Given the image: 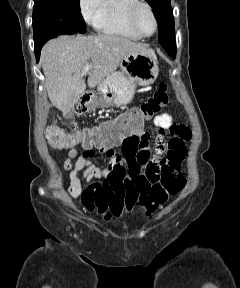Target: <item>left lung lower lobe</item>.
Wrapping results in <instances>:
<instances>
[{"label":"left lung lower lobe","instance_id":"obj_1","mask_svg":"<svg viewBox=\"0 0 240 288\" xmlns=\"http://www.w3.org/2000/svg\"><path fill=\"white\" fill-rule=\"evenodd\" d=\"M172 58H175L176 57V50H166Z\"/></svg>","mask_w":240,"mask_h":288}]
</instances>
